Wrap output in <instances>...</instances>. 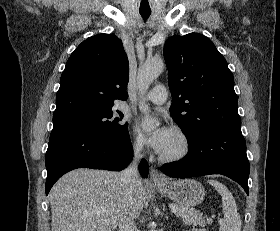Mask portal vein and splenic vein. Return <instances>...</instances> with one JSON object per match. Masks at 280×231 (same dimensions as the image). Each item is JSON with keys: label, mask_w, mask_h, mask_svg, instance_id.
<instances>
[{"label": "portal vein and splenic vein", "mask_w": 280, "mask_h": 231, "mask_svg": "<svg viewBox=\"0 0 280 231\" xmlns=\"http://www.w3.org/2000/svg\"><path fill=\"white\" fill-rule=\"evenodd\" d=\"M173 213H176V211H178L179 207H174V205H172L171 207Z\"/></svg>", "instance_id": "portal-vein-and-splenic-vein-1"}]
</instances>
